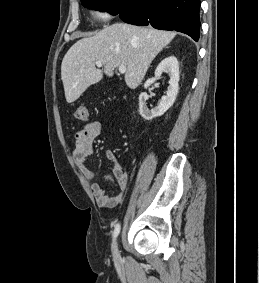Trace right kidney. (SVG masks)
<instances>
[{"mask_svg":"<svg viewBox=\"0 0 259 283\" xmlns=\"http://www.w3.org/2000/svg\"><path fill=\"white\" fill-rule=\"evenodd\" d=\"M163 72L169 75L170 80L166 96L162 97L159 104L155 108L149 109L146 104L147 93L143 92L139 96V112L145 120H152L163 115L175 102L179 90V64L174 56H169L160 62L155 70V76L145 82L144 88L147 89Z\"/></svg>","mask_w":259,"mask_h":283,"instance_id":"right-kidney-1","label":"right kidney"}]
</instances>
